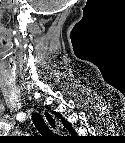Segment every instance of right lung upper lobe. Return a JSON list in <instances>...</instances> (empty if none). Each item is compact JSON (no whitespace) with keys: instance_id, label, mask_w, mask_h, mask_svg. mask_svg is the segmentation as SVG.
<instances>
[{"instance_id":"obj_1","label":"right lung upper lobe","mask_w":125,"mask_h":143,"mask_svg":"<svg viewBox=\"0 0 125 143\" xmlns=\"http://www.w3.org/2000/svg\"><path fill=\"white\" fill-rule=\"evenodd\" d=\"M55 116H57L58 118H60V119L62 120V122H63V125L70 131L71 127H70L69 123L66 122V121L61 117V115H60L59 113H56Z\"/></svg>"}]
</instances>
